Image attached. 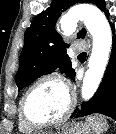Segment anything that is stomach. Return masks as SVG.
I'll return each mask as SVG.
<instances>
[{"label":"stomach","instance_id":"1","mask_svg":"<svg viewBox=\"0 0 116 134\" xmlns=\"http://www.w3.org/2000/svg\"><path fill=\"white\" fill-rule=\"evenodd\" d=\"M45 134H52L46 132ZM56 134H91L90 126L87 123H72L61 128Z\"/></svg>","mask_w":116,"mask_h":134}]
</instances>
